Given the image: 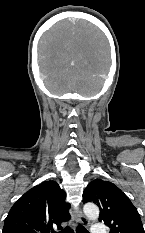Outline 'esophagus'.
Listing matches in <instances>:
<instances>
[{"mask_svg": "<svg viewBox=\"0 0 145 233\" xmlns=\"http://www.w3.org/2000/svg\"><path fill=\"white\" fill-rule=\"evenodd\" d=\"M76 220H77L80 224H82V225H84V226H87V225H88V220H87V218L81 213L80 210H78L77 213H76Z\"/></svg>", "mask_w": 145, "mask_h": 233, "instance_id": "obj_1", "label": "esophagus"}]
</instances>
